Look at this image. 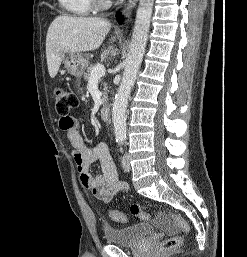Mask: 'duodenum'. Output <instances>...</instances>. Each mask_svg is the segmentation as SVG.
<instances>
[{
	"label": "duodenum",
	"instance_id": "410a0bca",
	"mask_svg": "<svg viewBox=\"0 0 247 257\" xmlns=\"http://www.w3.org/2000/svg\"><path fill=\"white\" fill-rule=\"evenodd\" d=\"M100 114L103 120L107 121L110 118L111 115V110L108 105H103L100 109Z\"/></svg>",
	"mask_w": 247,
	"mask_h": 257
}]
</instances>
